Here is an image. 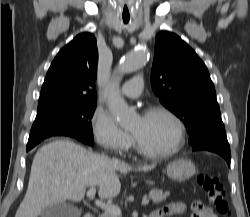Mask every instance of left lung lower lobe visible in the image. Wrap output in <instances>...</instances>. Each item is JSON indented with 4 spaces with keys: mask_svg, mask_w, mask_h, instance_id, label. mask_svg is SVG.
Wrapping results in <instances>:
<instances>
[{
    "mask_svg": "<svg viewBox=\"0 0 250 217\" xmlns=\"http://www.w3.org/2000/svg\"><path fill=\"white\" fill-rule=\"evenodd\" d=\"M190 144L193 145L194 151L205 150L221 155L226 160L228 166H230L231 152L224 125L212 127Z\"/></svg>",
    "mask_w": 250,
    "mask_h": 217,
    "instance_id": "obj_1",
    "label": "left lung lower lobe"
}]
</instances>
